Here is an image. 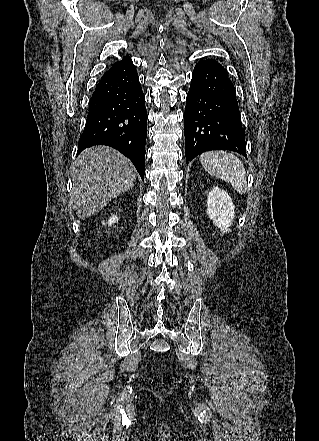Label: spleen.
<instances>
[{"label": "spleen", "instance_id": "spleen-1", "mask_svg": "<svg viewBox=\"0 0 319 441\" xmlns=\"http://www.w3.org/2000/svg\"><path fill=\"white\" fill-rule=\"evenodd\" d=\"M200 161L210 175L230 183L238 193H246V171L239 158L226 151H210L203 153Z\"/></svg>", "mask_w": 319, "mask_h": 441}]
</instances>
